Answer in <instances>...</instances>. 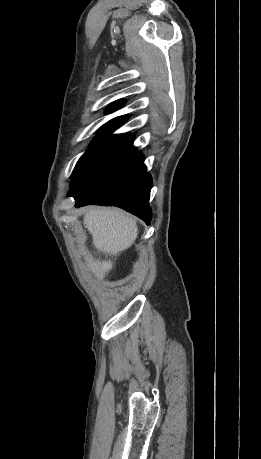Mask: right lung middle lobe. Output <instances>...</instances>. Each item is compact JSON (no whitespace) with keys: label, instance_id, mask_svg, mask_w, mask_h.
Instances as JSON below:
<instances>
[{"label":"right lung middle lobe","instance_id":"right-lung-middle-lobe-1","mask_svg":"<svg viewBox=\"0 0 261 459\" xmlns=\"http://www.w3.org/2000/svg\"><path fill=\"white\" fill-rule=\"evenodd\" d=\"M114 129L116 128L99 131V135L93 140V146L77 162L68 196L82 198L88 195L104 177L136 151L132 145L134 136H109Z\"/></svg>","mask_w":261,"mask_h":459}]
</instances>
